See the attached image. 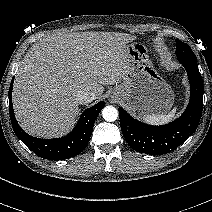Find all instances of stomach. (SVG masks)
<instances>
[{"instance_id":"0dacf381","label":"stomach","mask_w":212,"mask_h":212,"mask_svg":"<svg viewBox=\"0 0 212 212\" xmlns=\"http://www.w3.org/2000/svg\"><path fill=\"white\" fill-rule=\"evenodd\" d=\"M121 82L112 95L137 115L165 114L172 107L174 94L155 69L147 48L131 42L121 49Z\"/></svg>"}]
</instances>
